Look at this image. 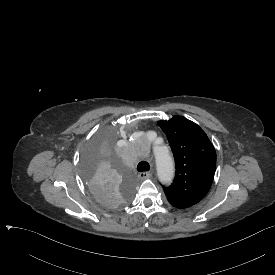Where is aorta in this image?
I'll return each mask as SVG.
<instances>
[{
	"label": "aorta",
	"mask_w": 275,
	"mask_h": 275,
	"mask_svg": "<svg viewBox=\"0 0 275 275\" xmlns=\"http://www.w3.org/2000/svg\"><path fill=\"white\" fill-rule=\"evenodd\" d=\"M147 146L146 152L153 166L157 167L159 180L170 183L174 177V166L167 148L163 143L164 137L160 130L152 128L143 137Z\"/></svg>",
	"instance_id": "aorta-1"
}]
</instances>
